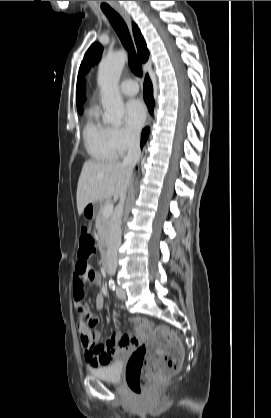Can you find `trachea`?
I'll use <instances>...</instances> for the list:
<instances>
[{"mask_svg": "<svg viewBox=\"0 0 271 418\" xmlns=\"http://www.w3.org/2000/svg\"><path fill=\"white\" fill-rule=\"evenodd\" d=\"M104 14L109 19L111 25L119 36L123 46L128 51V64L131 71L136 76L142 75V66L136 57L133 42L128 27L122 17L113 9H103Z\"/></svg>", "mask_w": 271, "mask_h": 418, "instance_id": "1", "label": "trachea"}]
</instances>
